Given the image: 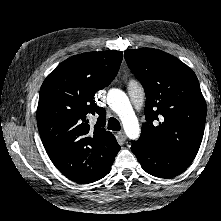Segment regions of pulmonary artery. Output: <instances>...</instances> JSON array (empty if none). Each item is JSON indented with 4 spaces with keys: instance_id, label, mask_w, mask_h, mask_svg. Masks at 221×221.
I'll return each mask as SVG.
<instances>
[{
    "instance_id": "pulmonary-artery-1",
    "label": "pulmonary artery",
    "mask_w": 221,
    "mask_h": 221,
    "mask_svg": "<svg viewBox=\"0 0 221 221\" xmlns=\"http://www.w3.org/2000/svg\"><path fill=\"white\" fill-rule=\"evenodd\" d=\"M127 89L130 97L134 100H138L144 95V88L142 84L136 79L129 78L127 80Z\"/></svg>"
}]
</instances>
